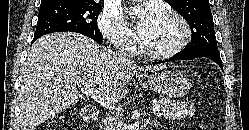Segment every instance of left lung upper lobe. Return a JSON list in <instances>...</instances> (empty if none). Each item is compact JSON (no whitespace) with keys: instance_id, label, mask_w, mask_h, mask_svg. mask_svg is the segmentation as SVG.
Returning a JSON list of instances; mask_svg holds the SVG:
<instances>
[{"instance_id":"obj_1","label":"left lung upper lobe","mask_w":249,"mask_h":130,"mask_svg":"<svg viewBox=\"0 0 249 130\" xmlns=\"http://www.w3.org/2000/svg\"><path fill=\"white\" fill-rule=\"evenodd\" d=\"M188 22L192 38L184 50L219 53L209 0H166Z\"/></svg>"}]
</instances>
